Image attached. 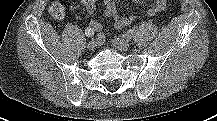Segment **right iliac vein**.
Here are the masks:
<instances>
[{"label": "right iliac vein", "mask_w": 217, "mask_h": 121, "mask_svg": "<svg viewBox=\"0 0 217 121\" xmlns=\"http://www.w3.org/2000/svg\"><path fill=\"white\" fill-rule=\"evenodd\" d=\"M96 47H97V42L95 40H92L87 44V49L89 51H94Z\"/></svg>", "instance_id": "right-iliac-vein-1"}]
</instances>
